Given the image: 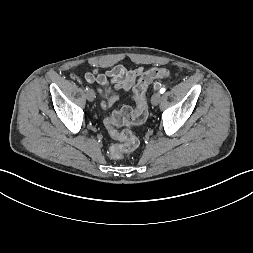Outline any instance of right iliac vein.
<instances>
[{"instance_id":"63e3f726","label":"right iliac vein","mask_w":253,"mask_h":253,"mask_svg":"<svg viewBox=\"0 0 253 253\" xmlns=\"http://www.w3.org/2000/svg\"><path fill=\"white\" fill-rule=\"evenodd\" d=\"M86 97L89 101H93L95 99V93L92 89H89L87 92H86Z\"/></svg>"}]
</instances>
